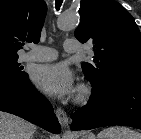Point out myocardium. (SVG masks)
<instances>
[{"mask_svg": "<svg viewBox=\"0 0 141 139\" xmlns=\"http://www.w3.org/2000/svg\"><path fill=\"white\" fill-rule=\"evenodd\" d=\"M91 94H92L91 89L88 86L82 85L78 89L75 100L79 104H84L89 100Z\"/></svg>", "mask_w": 141, "mask_h": 139, "instance_id": "obj_1", "label": "myocardium"}]
</instances>
